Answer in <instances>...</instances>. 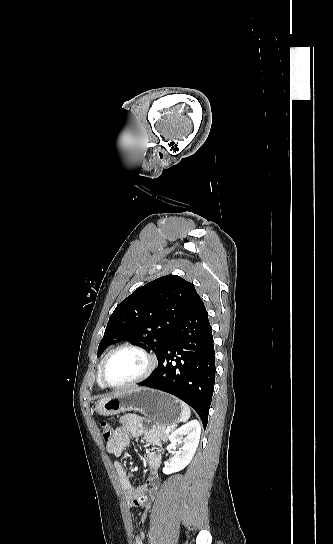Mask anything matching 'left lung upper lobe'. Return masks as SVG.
<instances>
[{
    "label": "left lung upper lobe",
    "instance_id": "5c2ea615",
    "mask_svg": "<svg viewBox=\"0 0 333 544\" xmlns=\"http://www.w3.org/2000/svg\"><path fill=\"white\" fill-rule=\"evenodd\" d=\"M199 298L194 285L177 275L163 276L137 288L111 314L98 357L109 345L130 340L147 344L158 358Z\"/></svg>",
    "mask_w": 333,
    "mask_h": 544
}]
</instances>
